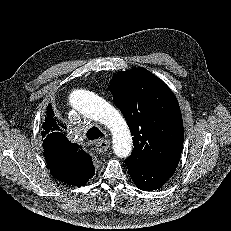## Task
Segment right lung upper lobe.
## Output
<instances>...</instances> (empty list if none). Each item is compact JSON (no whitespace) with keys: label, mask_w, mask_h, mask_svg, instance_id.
<instances>
[{"label":"right lung upper lobe","mask_w":231,"mask_h":231,"mask_svg":"<svg viewBox=\"0 0 231 231\" xmlns=\"http://www.w3.org/2000/svg\"><path fill=\"white\" fill-rule=\"evenodd\" d=\"M42 127L44 155L51 175L70 185H85L95 172L92 159L67 139L65 126L55 117L50 104Z\"/></svg>","instance_id":"obj_1"}]
</instances>
